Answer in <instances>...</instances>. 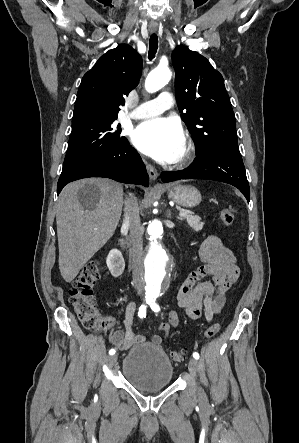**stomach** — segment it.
Instances as JSON below:
<instances>
[{"mask_svg":"<svg viewBox=\"0 0 299 443\" xmlns=\"http://www.w3.org/2000/svg\"><path fill=\"white\" fill-rule=\"evenodd\" d=\"M164 190L169 199L187 208L195 207L201 202V194L193 186L172 183L165 186Z\"/></svg>","mask_w":299,"mask_h":443,"instance_id":"1","label":"stomach"}]
</instances>
